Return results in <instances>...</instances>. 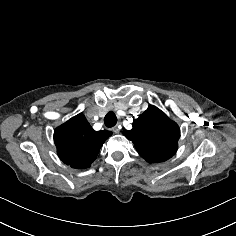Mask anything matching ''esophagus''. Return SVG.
<instances>
[{
	"label": "esophagus",
	"instance_id": "obj_1",
	"mask_svg": "<svg viewBox=\"0 0 236 236\" xmlns=\"http://www.w3.org/2000/svg\"><path fill=\"white\" fill-rule=\"evenodd\" d=\"M112 130H113V132H115L116 134H118V133L120 132V129L118 128L117 125L114 126V127L112 128Z\"/></svg>",
	"mask_w": 236,
	"mask_h": 236
}]
</instances>
